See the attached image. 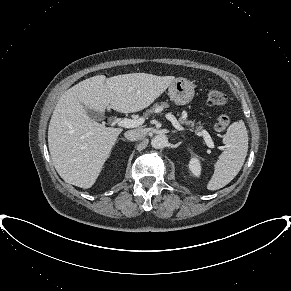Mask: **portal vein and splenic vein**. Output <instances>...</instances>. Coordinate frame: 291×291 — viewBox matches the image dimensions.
Here are the masks:
<instances>
[{"label": "portal vein and splenic vein", "instance_id": "obj_1", "mask_svg": "<svg viewBox=\"0 0 291 291\" xmlns=\"http://www.w3.org/2000/svg\"><path fill=\"white\" fill-rule=\"evenodd\" d=\"M166 118L169 121H171V123L173 124V126L177 130H179V131H185L186 130L183 126H181L179 124V122L176 120V118L172 114H170V113L166 114ZM144 121H145L144 118H139V119H127V118H125V119L117 120L116 123L120 127L134 128V127H137V126L143 124ZM200 135L203 136V138L205 140V143L207 144V146L209 148H214V143H213L209 133L206 130H201Z\"/></svg>", "mask_w": 291, "mask_h": 291}]
</instances>
